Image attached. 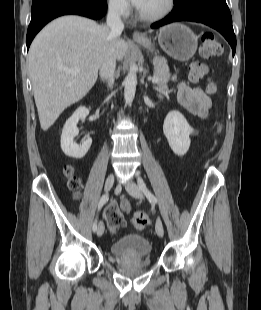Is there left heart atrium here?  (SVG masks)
Returning a JSON list of instances; mask_svg holds the SVG:
<instances>
[{
  "label": "left heart atrium",
  "mask_w": 261,
  "mask_h": 310,
  "mask_svg": "<svg viewBox=\"0 0 261 310\" xmlns=\"http://www.w3.org/2000/svg\"><path fill=\"white\" fill-rule=\"evenodd\" d=\"M134 6L138 9L143 5L145 0H130Z\"/></svg>",
  "instance_id": "obj_1"
}]
</instances>
